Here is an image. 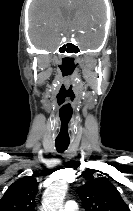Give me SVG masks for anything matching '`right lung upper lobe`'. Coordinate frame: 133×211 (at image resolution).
Instances as JSON below:
<instances>
[{
    "label": "right lung upper lobe",
    "mask_w": 133,
    "mask_h": 211,
    "mask_svg": "<svg viewBox=\"0 0 133 211\" xmlns=\"http://www.w3.org/2000/svg\"><path fill=\"white\" fill-rule=\"evenodd\" d=\"M38 183L33 176L14 182L0 199V211H34Z\"/></svg>",
    "instance_id": "obj_1"
}]
</instances>
